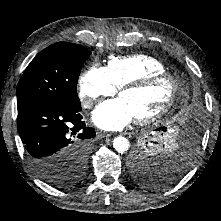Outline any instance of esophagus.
Masks as SVG:
<instances>
[{"label": "esophagus", "mask_w": 221, "mask_h": 221, "mask_svg": "<svg viewBox=\"0 0 221 221\" xmlns=\"http://www.w3.org/2000/svg\"><path fill=\"white\" fill-rule=\"evenodd\" d=\"M100 136L101 137H109V136H111V134L108 132H100Z\"/></svg>", "instance_id": "esophagus-1"}]
</instances>
